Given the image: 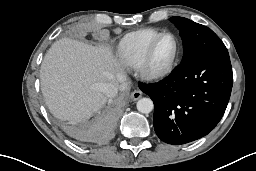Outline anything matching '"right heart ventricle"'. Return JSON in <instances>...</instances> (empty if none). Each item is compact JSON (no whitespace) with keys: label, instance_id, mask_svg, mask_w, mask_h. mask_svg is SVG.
<instances>
[{"label":"right heart ventricle","instance_id":"1","mask_svg":"<svg viewBox=\"0 0 256 171\" xmlns=\"http://www.w3.org/2000/svg\"><path fill=\"white\" fill-rule=\"evenodd\" d=\"M161 33L157 29L145 28L126 34L117 47L118 57L126 65L138 67L149 44Z\"/></svg>","mask_w":256,"mask_h":171}]
</instances>
